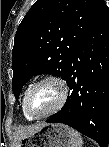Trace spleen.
<instances>
[{
    "label": "spleen",
    "instance_id": "obj_1",
    "mask_svg": "<svg viewBox=\"0 0 109 147\" xmlns=\"http://www.w3.org/2000/svg\"><path fill=\"white\" fill-rule=\"evenodd\" d=\"M72 137H73L72 147H82L83 139H82L81 135L78 132L73 130Z\"/></svg>",
    "mask_w": 109,
    "mask_h": 147
}]
</instances>
